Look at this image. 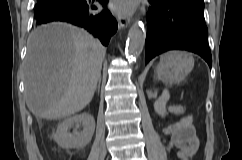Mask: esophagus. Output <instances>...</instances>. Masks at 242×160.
Instances as JSON below:
<instances>
[{"label": "esophagus", "instance_id": "1", "mask_svg": "<svg viewBox=\"0 0 242 160\" xmlns=\"http://www.w3.org/2000/svg\"><path fill=\"white\" fill-rule=\"evenodd\" d=\"M117 22H118V25L120 28H125L130 25L131 20H130V18L119 15L117 17Z\"/></svg>", "mask_w": 242, "mask_h": 160}]
</instances>
